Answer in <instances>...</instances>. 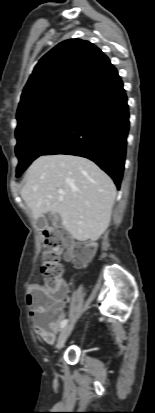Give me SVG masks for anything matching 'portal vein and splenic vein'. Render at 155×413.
Wrapping results in <instances>:
<instances>
[{
    "instance_id": "1",
    "label": "portal vein and splenic vein",
    "mask_w": 155,
    "mask_h": 413,
    "mask_svg": "<svg viewBox=\"0 0 155 413\" xmlns=\"http://www.w3.org/2000/svg\"><path fill=\"white\" fill-rule=\"evenodd\" d=\"M58 192H59L61 195L64 194V191H63V190H59Z\"/></svg>"
}]
</instances>
